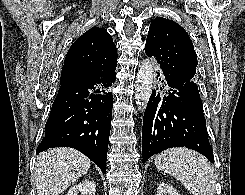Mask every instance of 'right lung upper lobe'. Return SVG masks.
Segmentation results:
<instances>
[{"mask_svg":"<svg viewBox=\"0 0 245 195\" xmlns=\"http://www.w3.org/2000/svg\"><path fill=\"white\" fill-rule=\"evenodd\" d=\"M117 66V49L105 28L93 27L70 47L65 58L60 84L89 79L97 71L113 73Z\"/></svg>","mask_w":245,"mask_h":195,"instance_id":"right-lung-upper-lobe-1","label":"right lung upper lobe"}]
</instances>
